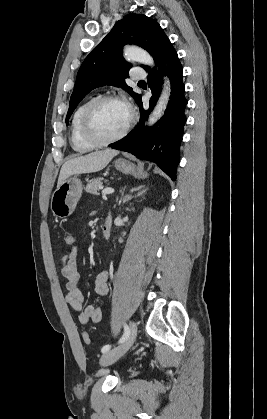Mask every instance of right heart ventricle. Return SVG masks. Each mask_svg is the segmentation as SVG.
<instances>
[{"mask_svg": "<svg viewBox=\"0 0 267 419\" xmlns=\"http://www.w3.org/2000/svg\"><path fill=\"white\" fill-rule=\"evenodd\" d=\"M91 100L92 98L87 99L83 103H81L74 111L72 120H71L70 142H71V146L73 150L78 153H87V152L92 151L96 147L88 143L86 140H84L80 132V122H81L82 113L85 107L88 105V103Z\"/></svg>", "mask_w": 267, "mask_h": 419, "instance_id": "right-heart-ventricle-1", "label": "right heart ventricle"}]
</instances>
